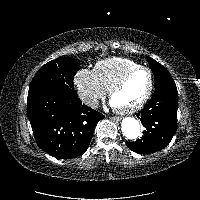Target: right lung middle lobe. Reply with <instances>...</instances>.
<instances>
[{
	"label": "right lung middle lobe",
	"mask_w": 200,
	"mask_h": 200,
	"mask_svg": "<svg viewBox=\"0 0 200 200\" xmlns=\"http://www.w3.org/2000/svg\"><path fill=\"white\" fill-rule=\"evenodd\" d=\"M80 65L71 58L52 60L41 67L31 81L28 95L40 92L65 93L72 89Z\"/></svg>",
	"instance_id": "obj_1"
}]
</instances>
